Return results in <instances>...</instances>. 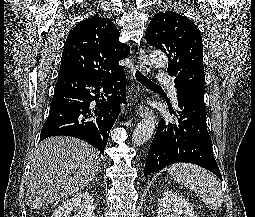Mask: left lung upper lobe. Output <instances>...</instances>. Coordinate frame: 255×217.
Returning <instances> with one entry per match:
<instances>
[{"label":"left lung upper lobe","mask_w":255,"mask_h":217,"mask_svg":"<svg viewBox=\"0 0 255 217\" xmlns=\"http://www.w3.org/2000/svg\"><path fill=\"white\" fill-rule=\"evenodd\" d=\"M145 38L167 55V72L175 76L176 87L204 97L203 45L196 25L172 11L157 13Z\"/></svg>","instance_id":"5c2ea615"}]
</instances>
